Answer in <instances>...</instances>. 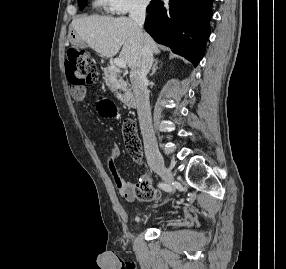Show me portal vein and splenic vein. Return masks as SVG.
<instances>
[{"label": "portal vein and splenic vein", "mask_w": 286, "mask_h": 269, "mask_svg": "<svg viewBox=\"0 0 286 269\" xmlns=\"http://www.w3.org/2000/svg\"><path fill=\"white\" fill-rule=\"evenodd\" d=\"M114 64L119 68H125L126 67V62L121 58L114 59Z\"/></svg>", "instance_id": "1"}]
</instances>
